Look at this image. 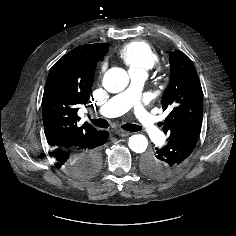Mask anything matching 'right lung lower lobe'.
Segmentation results:
<instances>
[{
    "instance_id": "right-lung-lower-lobe-1",
    "label": "right lung lower lobe",
    "mask_w": 236,
    "mask_h": 236,
    "mask_svg": "<svg viewBox=\"0 0 236 236\" xmlns=\"http://www.w3.org/2000/svg\"><path fill=\"white\" fill-rule=\"evenodd\" d=\"M109 133L102 131L96 140L88 145L87 150L76 149L58 150L53 152L58 165L63 167L69 174L77 178H86V163L89 157L94 158L101 165L100 148L107 141Z\"/></svg>"
}]
</instances>
